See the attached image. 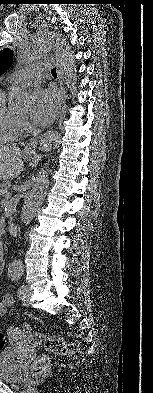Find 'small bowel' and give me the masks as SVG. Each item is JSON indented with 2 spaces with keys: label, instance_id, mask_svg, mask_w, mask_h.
I'll list each match as a JSON object with an SVG mask.
<instances>
[{
  "label": "small bowel",
  "instance_id": "1",
  "mask_svg": "<svg viewBox=\"0 0 153 393\" xmlns=\"http://www.w3.org/2000/svg\"><path fill=\"white\" fill-rule=\"evenodd\" d=\"M14 305V298L11 294H5L0 302V317L5 314L9 307ZM17 332L16 328H13Z\"/></svg>",
  "mask_w": 153,
  "mask_h": 393
}]
</instances>
